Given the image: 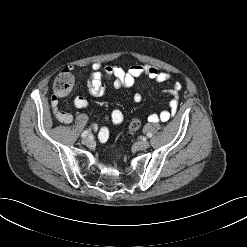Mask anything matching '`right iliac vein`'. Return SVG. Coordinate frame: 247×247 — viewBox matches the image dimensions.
Here are the masks:
<instances>
[{"label": "right iliac vein", "mask_w": 247, "mask_h": 247, "mask_svg": "<svg viewBox=\"0 0 247 247\" xmlns=\"http://www.w3.org/2000/svg\"><path fill=\"white\" fill-rule=\"evenodd\" d=\"M82 143H83L84 145H87V146L92 145V144H93V139L90 138V137L84 138V139L82 140Z\"/></svg>", "instance_id": "63e3f726"}]
</instances>
